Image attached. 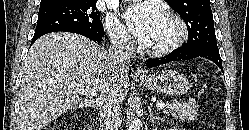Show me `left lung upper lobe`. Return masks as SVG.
<instances>
[{
	"instance_id": "left-lung-upper-lobe-1",
	"label": "left lung upper lobe",
	"mask_w": 249,
	"mask_h": 130,
	"mask_svg": "<svg viewBox=\"0 0 249 130\" xmlns=\"http://www.w3.org/2000/svg\"><path fill=\"white\" fill-rule=\"evenodd\" d=\"M185 21L188 41L183 47H217L210 0H165Z\"/></svg>"
}]
</instances>
